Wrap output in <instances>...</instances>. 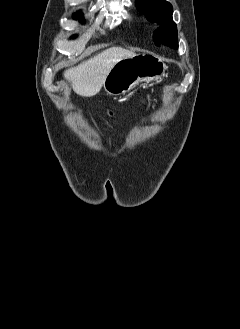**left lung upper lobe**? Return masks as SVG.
Masks as SVG:
<instances>
[{"mask_svg": "<svg viewBox=\"0 0 240 329\" xmlns=\"http://www.w3.org/2000/svg\"><path fill=\"white\" fill-rule=\"evenodd\" d=\"M136 7L149 21L160 24L154 31L157 45L163 42L171 48H178L177 26L172 20L173 8L170 3L165 0H136Z\"/></svg>", "mask_w": 240, "mask_h": 329, "instance_id": "1", "label": "left lung upper lobe"}]
</instances>
